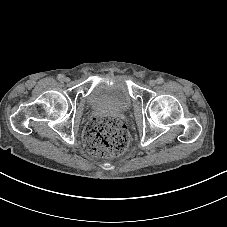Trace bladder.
<instances>
[{
  "instance_id": "bladder-1",
  "label": "bladder",
  "mask_w": 227,
  "mask_h": 227,
  "mask_svg": "<svg viewBox=\"0 0 227 227\" xmlns=\"http://www.w3.org/2000/svg\"><path fill=\"white\" fill-rule=\"evenodd\" d=\"M135 97L126 76L100 77L84 100L85 110L101 112L104 110L124 113L132 108Z\"/></svg>"
}]
</instances>
